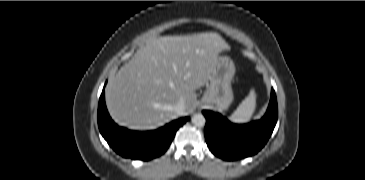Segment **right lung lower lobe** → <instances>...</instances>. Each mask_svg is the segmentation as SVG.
<instances>
[{"mask_svg": "<svg viewBox=\"0 0 365 180\" xmlns=\"http://www.w3.org/2000/svg\"><path fill=\"white\" fill-rule=\"evenodd\" d=\"M188 119L189 117L180 118L153 131H132L113 122L106 108L104 89L99 99L100 133L117 154L133 160L148 161L162 155L171 144L178 128Z\"/></svg>", "mask_w": 365, "mask_h": 180, "instance_id": "98d812e1", "label": "right lung lower lobe"}]
</instances>
